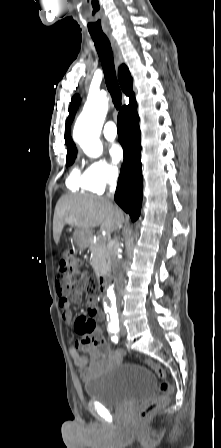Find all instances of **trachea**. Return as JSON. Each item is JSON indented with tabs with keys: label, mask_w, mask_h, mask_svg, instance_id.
<instances>
[{
	"label": "trachea",
	"mask_w": 221,
	"mask_h": 448,
	"mask_svg": "<svg viewBox=\"0 0 221 448\" xmlns=\"http://www.w3.org/2000/svg\"><path fill=\"white\" fill-rule=\"evenodd\" d=\"M91 37L94 41L98 56L101 61L107 89L111 95L112 102L115 108L118 110L121 107L122 95L116 77L114 58L110 41L105 35H92Z\"/></svg>",
	"instance_id": "trachea-1"
}]
</instances>
